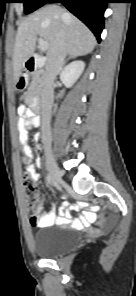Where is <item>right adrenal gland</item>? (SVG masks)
<instances>
[{"label":"right adrenal gland","mask_w":136,"mask_h":296,"mask_svg":"<svg viewBox=\"0 0 136 296\" xmlns=\"http://www.w3.org/2000/svg\"><path fill=\"white\" fill-rule=\"evenodd\" d=\"M76 57H77V56H74V55L69 56L68 59L65 61V64H66L70 59H74V58H76ZM65 64H64V65H65Z\"/></svg>","instance_id":"right-adrenal-gland-1"}]
</instances>
